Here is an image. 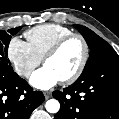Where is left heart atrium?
I'll return each instance as SVG.
<instances>
[{
	"label": "left heart atrium",
	"mask_w": 119,
	"mask_h": 119,
	"mask_svg": "<svg viewBox=\"0 0 119 119\" xmlns=\"http://www.w3.org/2000/svg\"><path fill=\"white\" fill-rule=\"evenodd\" d=\"M60 81L59 77L47 66H44L33 73L30 83L41 90H47Z\"/></svg>",
	"instance_id": "obj_1"
}]
</instances>
